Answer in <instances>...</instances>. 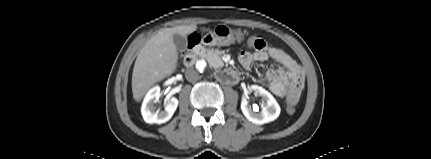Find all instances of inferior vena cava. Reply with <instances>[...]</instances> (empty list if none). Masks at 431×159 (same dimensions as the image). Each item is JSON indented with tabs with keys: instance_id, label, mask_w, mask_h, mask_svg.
Wrapping results in <instances>:
<instances>
[{
	"instance_id": "602c4592",
	"label": "inferior vena cava",
	"mask_w": 431,
	"mask_h": 159,
	"mask_svg": "<svg viewBox=\"0 0 431 159\" xmlns=\"http://www.w3.org/2000/svg\"><path fill=\"white\" fill-rule=\"evenodd\" d=\"M185 77L189 82L194 83L199 79V74L193 68H190L185 72Z\"/></svg>"
}]
</instances>
